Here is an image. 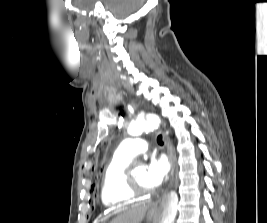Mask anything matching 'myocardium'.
<instances>
[{
	"instance_id": "myocardium-1",
	"label": "myocardium",
	"mask_w": 267,
	"mask_h": 223,
	"mask_svg": "<svg viewBox=\"0 0 267 223\" xmlns=\"http://www.w3.org/2000/svg\"><path fill=\"white\" fill-rule=\"evenodd\" d=\"M126 188L132 199H146L151 194V190L141 188L133 178L131 173L127 172L126 176Z\"/></svg>"
}]
</instances>
